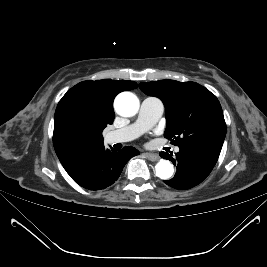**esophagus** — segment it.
<instances>
[{
  "instance_id": "1",
  "label": "esophagus",
  "mask_w": 267,
  "mask_h": 267,
  "mask_svg": "<svg viewBox=\"0 0 267 267\" xmlns=\"http://www.w3.org/2000/svg\"><path fill=\"white\" fill-rule=\"evenodd\" d=\"M145 156L151 161H158L160 159L159 155L154 153H145Z\"/></svg>"
}]
</instances>
